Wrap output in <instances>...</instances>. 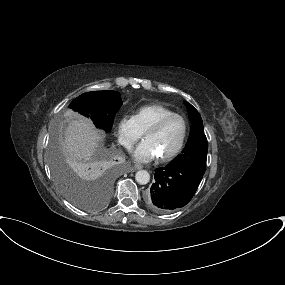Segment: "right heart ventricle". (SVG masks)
<instances>
[{
  "label": "right heart ventricle",
  "mask_w": 285,
  "mask_h": 285,
  "mask_svg": "<svg viewBox=\"0 0 285 285\" xmlns=\"http://www.w3.org/2000/svg\"><path fill=\"white\" fill-rule=\"evenodd\" d=\"M172 114L174 112L163 105L149 104L139 107L133 117L139 130L144 132L161 118Z\"/></svg>",
  "instance_id": "right-heart-ventricle-1"
}]
</instances>
